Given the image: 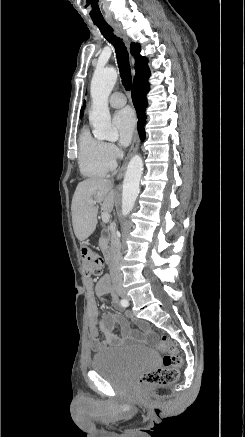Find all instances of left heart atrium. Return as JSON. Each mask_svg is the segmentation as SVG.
<instances>
[{
  "mask_svg": "<svg viewBox=\"0 0 245 437\" xmlns=\"http://www.w3.org/2000/svg\"><path fill=\"white\" fill-rule=\"evenodd\" d=\"M113 126L115 127L119 142L126 146L130 143L136 126V117L130 108H124L113 116Z\"/></svg>",
  "mask_w": 245,
  "mask_h": 437,
  "instance_id": "39dd6f15",
  "label": "left heart atrium"
}]
</instances>
